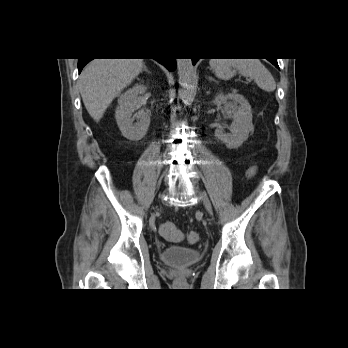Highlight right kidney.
<instances>
[{
    "label": "right kidney",
    "mask_w": 348,
    "mask_h": 348,
    "mask_svg": "<svg viewBox=\"0 0 348 348\" xmlns=\"http://www.w3.org/2000/svg\"><path fill=\"white\" fill-rule=\"evenodd\" d=\"M146 90L147 87L144 85H135L118 99V107L115 111L116 122L122 135L131 141L141 140L150 125V115L146 111H139L132 117L138 109V95L145 93ZM135 119L137 122L133 123Z\"/></svg>",
    "instance_id": "1"
}]
</instances>
